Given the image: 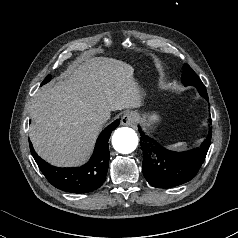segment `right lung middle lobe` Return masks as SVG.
<instances>
[{
  "label": "right lung middle lobe",
  "instance_id": "1",
  "mask_svg": "<svg viewBox=\"0 0 238 238\" xmlns=\"http://www.w3.org/2000/svg\"><path fill=\"white\" fill-rule=\"evenodd\" d=\"M50 79H51V76L50 75H48L45 79H44V81L42 82V84L41 85H44V84H46L47 82H49L50 81Z\"/></svg>",
  "mask_w": 238,
  "mask_h": 238
}]
</instances>
